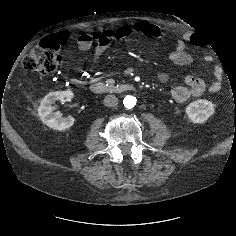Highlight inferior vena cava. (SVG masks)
<instances>
[{
    "instance_id": "602c4592",
    "label": "inferior vena cava",
    "mask_w": 236,
    "mask_h": 236,
    "mask_svg": "<svg viewBox=\"0 0 236 236\" xmlns=\"http://www.w3.org/2000/svg\"><path fill=\"white\" fill-rule=\"evenodd\" d=\"M103 103L106 107H114L118 104V99L115 95H107Z\"/></svg>"
}]
</instances>
